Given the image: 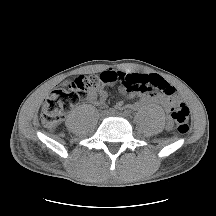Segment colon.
Wrapping results in <instances>:
<instances>
[{
	"instance_id": "5ec220e1",
	"label": "colon",
	"mask_w": 216,
	"mask_h": 216,
	"mask_svg": "<svg viewBox=\"0 0 216 216\" xmlns=\"http://www.w3.org/2000/svg\"><path fill=\"white\" fill-rule=\"evenodd\" d=\"M102 83L105 82L92 76H78L67 80L63 86L54 90L46 99L40 115L42 124L49 129L56 128L67 112L75 107L81 99L91 97ZM154 90L166 96L174 94V88L169 83L162 81L156 84ZM189 115V109L184 102H176L170 108V117L181 135L186 134L189 130Z\"/></svg>"
}]
</instances>
